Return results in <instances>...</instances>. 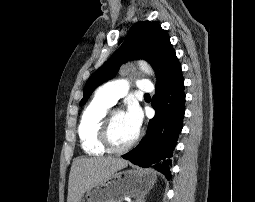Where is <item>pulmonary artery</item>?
Returning a JSON list of instances; mask_svg holds the SVG:
<instances>
[{"mask_svg":"<svg viewBox=\"0 0 255 202\" xmlns=\"http://www.w3.org/2000/svg\"><path fill=\"white\" fill-rule=\"evenodd\" d=\"M136 87L145 93L153 91V85L148 79L139 78L136 80ZM129 90V82L126 79H117L109 81L102 85L96 92V95L109 103L115 104L121 97L125 96Z\"/></svg>","mask_w":255,"mask_h":202,"instance_id":"pulmonary-artery-1","label":"pulmonary artery"}]
</instances>
